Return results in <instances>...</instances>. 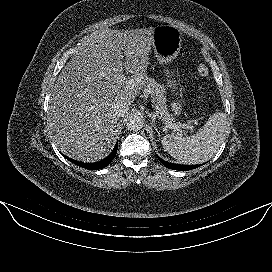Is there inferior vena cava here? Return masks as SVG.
<instances>
[{"instance_id": "602c4592", "label": "inferior vena cava", "mask_w": 272, "mask_h": 272, "mask_svg": "<svg viewBox=\"0 0 272 272\" xmlns=\"http://www.w3.org/2000/svg\"><path fill=\"white\" fill-rule=\"evenodd\" d=\"M129 110V105L123 101H117L113 106V112L116 117H122Z\"/></svg>"}]
</instances>
